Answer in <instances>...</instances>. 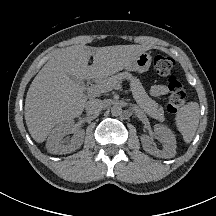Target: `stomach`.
<instances>
[{
  "label": "stomach",
  "instance_id": "obj_1",
  "mask_svg": "<svg viewBox=\"0 0 216 216\" xmlns=\"http://www.w3.org/2000/svg\"><path fill=\"white\" fill-rule=\"evenodd\" d=\"M152 56L149 53L143 52L139 54V56L132 61L126 69L128 71H137L139 73L146 72L151 65Z\"/></svg>",
  "mask_w": 216,
  "mask_h": 216
}]
</instances>
